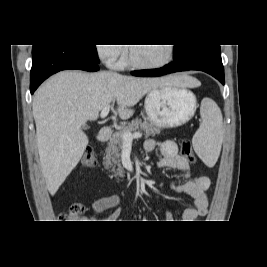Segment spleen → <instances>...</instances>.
<instances>
[{
  "mask_svg": "<svg viewBox=\"0 0 267 267\" xmlns=\"http://www.w3.org/2000/svg\"><path fill=\"white\" fill-rule=\"evenodd\" d=\"M202 122L192 139L197 155L207 166H214L222 145L223 120L220 109L216 105L210 108L202 106Z\"/></svg>",
  "mask_w": 267,
  "mask_h": 267,
  "instance_id": "spleen-1",
  "label": "spleen"
}]
</instances>
